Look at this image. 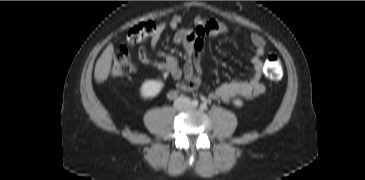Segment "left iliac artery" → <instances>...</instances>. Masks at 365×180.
<instances>
[{
    "mask_svg": "<svg viewBox=\"0 0 365 180\" xmlns=\"http://www.w3.org/2000/svg\"><path fill=\"white\" fill-rule=\"evenodd\" d=\"M200 109H201V110H205V109H207V105H206V103H202V104L200 105Z\"/></svg>",
    "mask_w": 365,
    "mask_h": 180,
    "instance_id": "44dca946",
    "label": "left iliac artery"
}]
</instances>
